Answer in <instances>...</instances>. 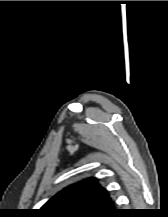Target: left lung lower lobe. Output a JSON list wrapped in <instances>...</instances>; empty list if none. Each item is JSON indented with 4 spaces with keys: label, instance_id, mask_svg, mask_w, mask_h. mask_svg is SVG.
<instances>
[{
    "label": "left lung lower lobe",
    "instance_id": "obj_1",
    "mask_svg": "<svg viewBox=\"0 0 168 217\" xmlns=\"http://www.w3.org/2000/svg\"><path fill=\"white\" fill-rule=\"evenodd\" d=\"M120 213L121 212H119L117 209H113V207H111V209L105 212L101 217H117Z\"/></svg>",
    "mask_w": 168,
    "mask_h": 217
}]
</instances>
